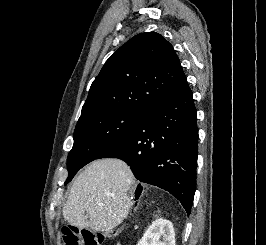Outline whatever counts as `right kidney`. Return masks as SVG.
Wrapping results in <instances>:
<instances>
[{
  "label": "right kidney",
  "mask_w": 266,
  "mask_h": 245,
  "mask_svg": "<svg viewBox=\"0 0 266 245\" xmlns=\"http://www.w3.org/2000/svg\"><path fill=\"white\" fill-rule=\"evenodd\" d=\"M167 233H171L172 239H175L172 223L166 219H156L138 241V245H167Z\"/></svg>",
  "instance_id": "ca27d5eb"
}]
</instances>
